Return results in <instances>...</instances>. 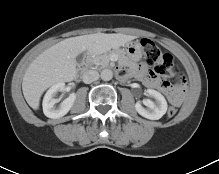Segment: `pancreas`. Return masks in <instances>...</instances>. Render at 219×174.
<instances>
[{"label": "pancreas", "mask_w": 219, "mask_h": 174, "mask_svg": "<svg viewBox=\"0 0 219 174\" xmlns=\"http://www.w3.org/2000/svg\"><path fill=\"white\" fill-rule=\"evenodd\" d=\"M116 54L120 63H127L128 59L122 52L109 51L101 55H97L90 60V62L96 66L107 67L110 62V56Z\"/></svg>", "instance_id": "pancreas-1"}]
</instances>
